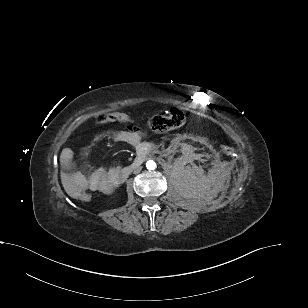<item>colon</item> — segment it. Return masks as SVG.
<instances>
[{"mask_svg":"<svg viewBox=\"0 0 308 308\" xmlns=\"http://www.w3.org/2000/svg\"><path fill=\"white\" fill-rule=\"evenodd\" d=\"M128 122L131 121V117L123 112H114L109 114H104L98 117L99 123L107 122ZM185 122L184 113L178 108H171L164 114H157L151 116L147 120V126L155 132H165L182 126ZM222 151L228 155L233 156L235 154V149L229 145H223ZM76 198L82 202H89L92 199V195L88 191H82L76 195Z\"/></svg>","mask_w":308,"mask_h":308,"instance_id":"colon-1","label":"colon"}]
</instances>
